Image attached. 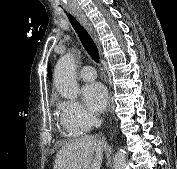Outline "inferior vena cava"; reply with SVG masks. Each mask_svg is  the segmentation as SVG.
I'll return each mask as SVG.
<instances>
[{"mask_svg": "<svg viewBox=\"0 0 177 169\" xmlns=\"http://www.w3.org/2000/svg\"><path fill=\"white\" fill-rule=\"evenodd\" d=\"M91 120H92L93 125H94L96 128H99V127L101 126V120L98 119L97 117L92 116V117H91Z\"/></svg>", "mask_w": 177, "mask_h": 169, "instance_id": "inferior-vena-cava-1", "label": "inferior vena cava"}]
</instances>
